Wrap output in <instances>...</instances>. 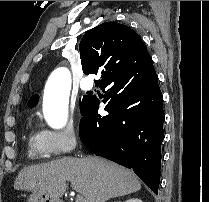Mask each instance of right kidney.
<instances>
[{
  "mask_svg": "<svg viewBox=\"0 0 209 202\" xmlns=\"http://www.w3.org/2000/svg\"><path fill=\"white\" fill-rule=\"evenodd\" d=\"M115 202H120V201H115ZM125 202H142V200L138 199V198H132V199H129Z\"/></svg>",
  "mask_w": 209,
  "mask_h": 202,
  "instance_id": "ca27d5eb",
  "label": "right kidney"
}]
</instances>
